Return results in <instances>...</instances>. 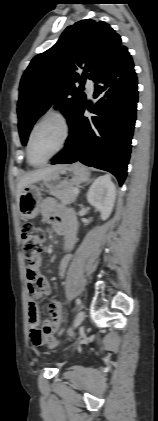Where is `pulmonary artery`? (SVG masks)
Returning a JSON list of instances; mask_svg holds the SVG:
<instances>
[{
    "instance_id": "e3ab8cb5",
    "label": "pulmonary artery",
    "mask_w": 158,
    "mask_h": 421,
    "mask_svg": "<svg viewBox=\"0 0 158 421\" xmlns=\"http://www.w3.org/2000/svg\"><path fill=\"white\" fill-rule=\"evenodd\" d=\"M86 90L89 96H92L95 91V82L93 80H87L86 82Z\"/></svg>"
}]
</instances>
